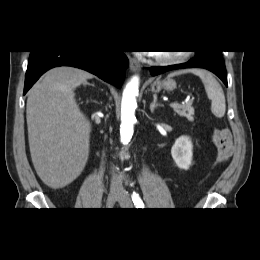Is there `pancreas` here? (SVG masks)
<instances>
[{
  "mask_svg": "<svg viewBox=\"0 0 260 260\" xmlns=\"http://www.w3.org/2000/svg\"><path fill=\"white\" fill-rule=\"evenodd\" d=\"M173 110L175 113L181 117L187 118L189 121L194 120V108L190 104L173 107Z\"/></svg>",
  "mask_w": 260,
  "mask_h": 260,
  "instance_id": "cf45deb5",
  "label": "pancreas"
}]
</instances>
